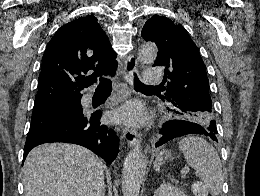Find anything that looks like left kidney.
I'll return each instance as SVG.
<instances>
[{"label": "left kidney", "mask_w": 260, "mask_h": 196, "mask_svg": "<svg viewBox=\"0 0 260 196\" xmlns=\"http://www.w3.org/2000/svg\"><path fill=\"white\" fill-rule=\"evenodd\" d=\"M154 196H186L184 190H180L177 186H172V184H161L157 190L154 192Z\"/></svg>", "instance_id": "obj_1"}]
</instances>
